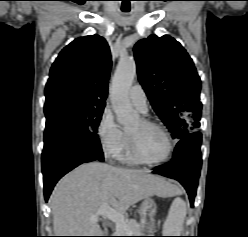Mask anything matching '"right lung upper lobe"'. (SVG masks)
Returning a JSON list of instances; mask_svg holds the SVG:
<instances>
[{"mask_svg":"<svg viewBox=\"0 0 248 237\" xmlns=\"http://www.w3.org/2000/svg\"><path fill=\"white\" fill-rule=\"evenodd\" d=\"M110 69V49L103 37L77 38L60 52L51 67L46 101L70 97L105 103Z\"/></svg>","mask_w":248,"mask_h":237,"instance_id":"obj_1","label":"right lung upper lobe"}]
</instances>
